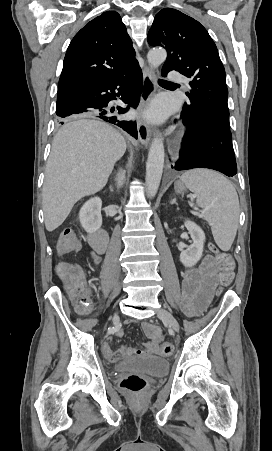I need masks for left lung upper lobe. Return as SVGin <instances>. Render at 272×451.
Segmentation results:
<instances>
[{
    "label": "left lung upper lobe",
    "mask_w": 272,
    "mask_h": 451,
    "mask_svg": "<svg viewBox=\"0 0 272 451\" xmlns=\"http://www.w3.org/2000/svg\"><path fill=\"white\" fill-rule=\"evenodd\" d=\"M147 39L151 46L166 48L163 70L191 79L190 102L184 104L182 117L211 116L230 128L225 70L206 29L184 13L164 8L156 14Z\"/></svg>",
    "instance_id": "left-lung-upper-lobe-1"
}]
</instances>
